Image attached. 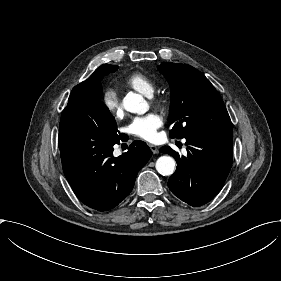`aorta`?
Wrapping results in <instances>:
<instances>
[{"mask_svg":"<svg viewBox=\"0 0 281 281\" xmlns=\"http://www.w3.org/2000/svg\"><path fill=\"white\" fill-rule=\"evenodd\" d=\"M123 107L131 113L144 114L149 105L145 99L136 93H128L123 99ZM176 168V162L171 156H161L156 161V170L163 176L172 175Z\"/></svg>","mask_w":281,"mask_h":281,"instance_id":"762f6f07","label":"aorta"}]
</instances>
